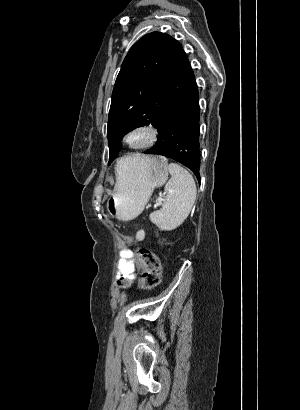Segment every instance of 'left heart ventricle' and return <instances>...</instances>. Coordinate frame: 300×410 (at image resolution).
Returning <instances> with one entry per match:
<instances>
[{
    "mask_svg": "<svg viewBox=\"0 0 300 410\" xmlns=\"http://www.w3.org/2000/svg\"><path fill=\"white\" fill-rule=\"evenodd\" d=\"M143 140H144V136L140 135V134H137V135L132 136L129 139V142L132 143V144H137V143L142 142Z\"/></svg>",
    "mask_w": 300,
    "mask_h": 410,
    "instance_id": "left-heart-ventricle-1",
    "label": "left heart ventricle"
}]
</instances>
